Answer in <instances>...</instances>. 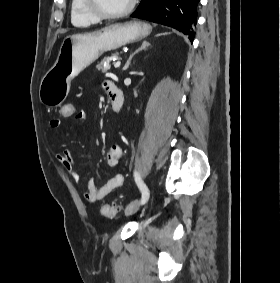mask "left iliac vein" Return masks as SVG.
Segmentation results:
<instances>
[{
    "label": "left iliac vein",
    "instance_id": "1",
    "mask_svg": "<svg viewBox=\"0 0 280 283\" xmlns=\"http://www.w3.org/2000/svg\"><path fill=\"white\" fill-rule=\"evenodd\" d=\"M139 207H140V203H139L138 200L132 201L131 203H129V204L126 206V208H125V210H124L125 215H126V216H129V215L134 214L135 212L138 211Z\"/></svg>",
    "mask_w": 280,
    "mask_h": 283
}]
</instances>
